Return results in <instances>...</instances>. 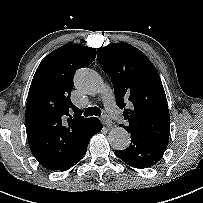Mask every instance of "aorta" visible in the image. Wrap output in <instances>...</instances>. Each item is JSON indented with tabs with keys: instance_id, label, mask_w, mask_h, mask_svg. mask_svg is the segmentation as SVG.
<instances>
[{
	"instance_id": "obj_1",
	"label": "aorta",
	"mask_w": 203,
	"mask_h": 203,
	"mask_svg": "<svg viewBox=\"0 0 203 203\" xmlns=\"http://www.w3.org/2000/svg\"><path fill=\"white\" fill-rule=\"evenodd\" d=\"M75 86L83 94L95 95L103 89L104 83L95 71L82 68L75 75ZM108 141L112 148L124 150L129 146L131 139L124 128L115 127L109 132Z\"/></svg>"
}]
</instances>
